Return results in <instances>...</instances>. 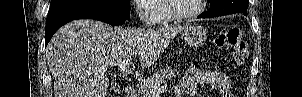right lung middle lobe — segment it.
Wrapping results in <instances>:
<instances>
[{"label":"right lung middle lobe","instance_id":"right-lung-middle-lobe-1","mask_svg":"<svg viewBox=\"0 0 302 97\" xmlns=\"http://www.w3.org/2000/svg\"><path fill=\"white\" fill-rule=\"evenodd\" d=\"M83 5L106 7L130 19V0H52L49 12Z\"/></svg>","mask_w":302,"mask_h":97}]
</instances>
